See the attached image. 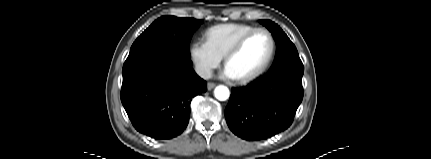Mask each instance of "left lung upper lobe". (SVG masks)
Returning a JSON list of instances; mask_svg holds the SVG:
<instances>
[{"instance_id":"left-lung-upper-lobe-1","label":"left lung upper lobe","mask_w":431,"mask_h":159,"mask_svg":"<svg viewBox=\"0 0 431 159\" xmlns=\"http://www.w3.org/2000/svg\"><path fill=\"white\" fill-rule=\"evenodd\" d=\"M259 22L268 28L276 41V56L271 69L282 66L303 67L295 45L290 41L283 30L270 20H260Z\"/></svg>"}]
</instances>
